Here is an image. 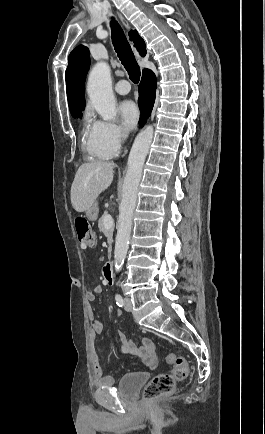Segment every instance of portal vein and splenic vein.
<instances>
[{
  "label": "portal vein and splenic vein",
  "mask_w": 265,
  "mask_h": 434,
  "mask_svg": "<svg viewBox=\"0 0 265 434\" xmlns=\"http://www.w3.org/2000/svg\"><path fill=\"white\" fill-rule=\"evenodd\" d=\"M104 226L109 230V228H112L113 226V218L110 216V214H105L103 218Z\"/></svg>",
  "instance_id": "obj_1"
}]
</instances>
